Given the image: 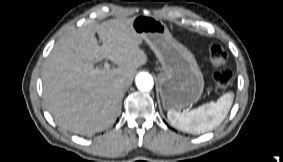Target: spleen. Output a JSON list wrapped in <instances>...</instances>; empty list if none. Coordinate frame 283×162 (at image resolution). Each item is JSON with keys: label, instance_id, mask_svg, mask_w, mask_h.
<instances>
[{"label": "spleen", "instance_id": "spleen-1", "mask_svg": "<svg viewBox=\"0 0 283 162\" xmlns=\"http://www.w3.org/2000/svg\"><path fill=\"white\" fill-rule=\"evenodd\" d=\"M234 93L228 92L216 103H207L188 112L171 109L167 112L169 122L175 128L193 134H200L219 126L233 104Z\"/></svg>", "mask_w": 283, "mask_h": 162}]
</instances>
